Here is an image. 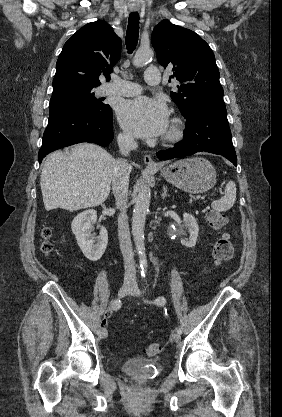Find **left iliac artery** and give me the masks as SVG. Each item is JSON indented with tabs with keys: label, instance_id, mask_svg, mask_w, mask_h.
<instances>
[{
	"label": "left iliac artery",
	"instance_id": "left-iliac-artery-1",
	"mask_svg": "<svg viewBox=\"0 0 282 417\" xmlns=\"http://www.w3.org/2000/svg\"><path fill=\"white\" fill-rule=\"evenodd\" d=\"M154 304L158 305V306H163L166 303V299L163 296L157 297L154 302ZM177 332L179 334L182 333V330L180 327L177 328Z\"/></svg>",
	"mask_w": 282,
	"mask_h": 417
}]
</instances>
